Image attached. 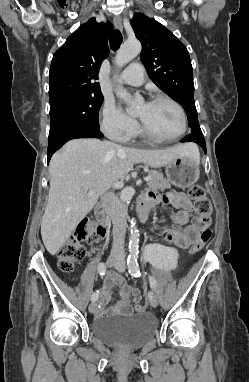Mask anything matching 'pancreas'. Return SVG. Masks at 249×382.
I'll return each instance as SVG.
<instances>
[{"instance_id": "obj_1", "label": "pancreas", "mask_w": 249, "mask_h": 382, "mask_svg": "<svg viewBox=\"0 0 249 382\" xmlns=\"http://www.w3.org/2000/svg\"><path fill=\"white\" fill-rule=\"evenodd\" d=\"M148 176H150L152 179L148 181V186L153 190H164V189H170L171 185L169 183V180L165 179L162 175V173L151 170L148 172Z\"/></svg>"}]
</instances>
